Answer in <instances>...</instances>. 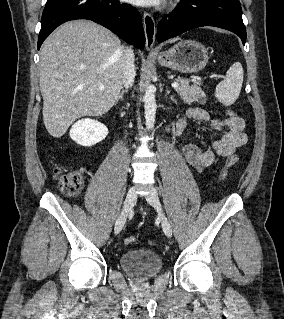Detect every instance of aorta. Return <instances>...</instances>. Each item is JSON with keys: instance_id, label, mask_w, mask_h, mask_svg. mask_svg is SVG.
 <instances>
[{"instance_id": "obj_1", "label": "aorta", "mask_w": 284, "mask_h": 319, "mask_svg": "<svg viewBox=\"0 0 284 319\" xmlns=\"http://www.w3.org/2000/svg\"><path fill=\"white\" fill-rule=\"evenodd\" d=\"M143 100H144L146 127L148 130H151L154 127L155 114H156L155 87L153 85H149L146 87Z\"/></svg>"}]
</instances>
